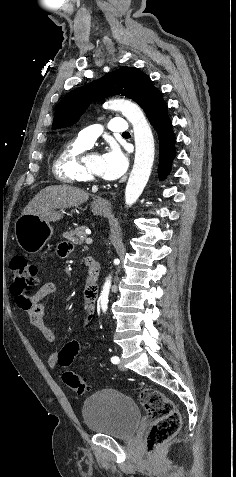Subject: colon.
<instances>
[{"label": "colon", "mask_w": 236, "mask_h": 477, "mask_svg": "<svg viewBox=\"0 0 236 477\" xmlns=\"http://www.w3.org/2000/svg\"><path fill=\"white\" fill-rule=\"evenodd\" d=\"M11 270L12 294L19 304L21 297L28 295L37 285L39 267L30 263L25 256L18 255L11 261ZM81 349L82 346L78 342L65 344L58 353V363L63 368L64 383L71 390L83 395L88 392V385L76 371L69 369ZM140 402L152 423L147 438L148 453L152 455L179 431L181 416L173 402L157 389L145 388L140 394Z\"/></svg>", "instance_id": "1"}]
</instances>
